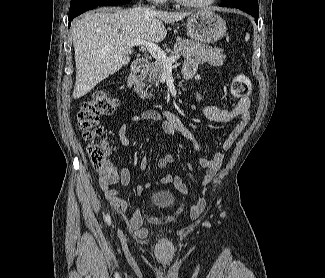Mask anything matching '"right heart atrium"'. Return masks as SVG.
I'll list each match as a JSON object with an SVG mask.
<instances>
[{"label": "right heart atrium", "mask_w": 325, "mask_h": 278, "mask_svg": "<svg viewBox=\"0 0 325 278\" xmlns=\"http://www.w3.org/2000/svg\"><path fill=\"white\" fill-rule=\"evenodd\" d=\"M151 1H153V2H155V3H163V2L166 1V0H151Z\"/></svg>", "instance_id": "d8ad5b80"}]
</instances>
